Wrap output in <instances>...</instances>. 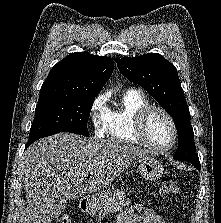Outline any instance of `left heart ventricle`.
Wrapping results in <instances>:
<instances>
[{"label": "left heart ventricle", "mask_w": 221, "mask_h": 223, "mask_svg": "<svg viewBox=\"0 0 221 223\" xmlns=\"http://www.w3.org/2000/svg\"><path fill=\"white\" fill-rule=\"evenodd\" d=\"M146 135L153 144L166 146L173 138V130L169 120L162 113L154 112L147 121Z\"/></svg>", "instance_id": "b2bd125f"}]
</instances>
